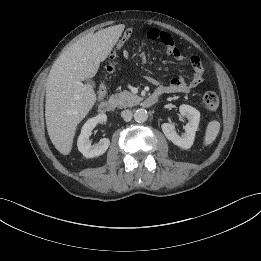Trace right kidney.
Listing matches in <instances>:
<instances>
[{"label":"right kidney","mask_w":261,"mask_h":261,"mask_svg":"<svg viewBox=\"0 0 261 261\" xmlns=\"http://www.w3.org/2000/svg\"><path fill=\"white\" fill-rule=\"evenodd\" d=\"M107 121L106 114H98L97 116L89 119L82 127L81 133L78 137L77 146L78 150L87 158H93L100 156L106 152L110 146V140L108 138H103L99 141L97 145H92L89 137L92 134V130L98 123H103Z\"/></svg>","instance_id":"obj_1"}]
</instances>
